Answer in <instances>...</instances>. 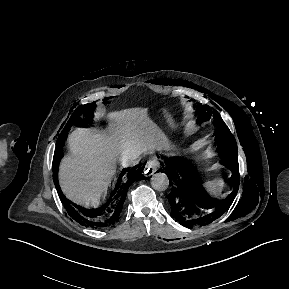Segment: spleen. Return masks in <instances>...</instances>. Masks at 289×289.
Listing matches in <instances>:
<instances>
[{"label":"spleen","instance_id":"spleen-1","mask_svg":"<svg viewBox=\"0 0 289 289\" xmlns=\"http://www.w3.org/2000/svg\"><path fill=\"white\" fill-rule=\"evenodd\" d=\"M222 186L223 181L221 179H214L203 184V187L206 188L212 195H217Z\"/></svg>","mask_w":289,"mask_h":289}]
</instances>
